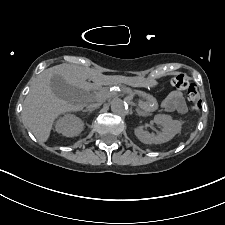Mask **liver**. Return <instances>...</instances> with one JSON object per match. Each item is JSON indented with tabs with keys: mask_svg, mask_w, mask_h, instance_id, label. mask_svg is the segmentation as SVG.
Masks as SVG:
<instances>
[{
	"mask_svg": "<svg viewBox=\"0 0 225 225\" xmlns=\"http://www.w3.org/2000/svg\"><path fill=\"white\" fill-rule=\"evenodd\" d=\"M53 75H60L68 84L83 91L114 83L113 77L79 65L60 64L44 70L32 82L30 92L23 102L25 125L42 143L48 140L53 123L58 116L66 112L82 110L85 106L74 105L58 98L50 87ZM87 79L92 80L94 84L88 83Z\"/></svg>",
	"mask_w": 225,
	"mask_h": 225,
	"instance_id": "liver-1",
	"label": "liver"
}]
</instances>
